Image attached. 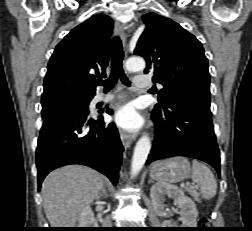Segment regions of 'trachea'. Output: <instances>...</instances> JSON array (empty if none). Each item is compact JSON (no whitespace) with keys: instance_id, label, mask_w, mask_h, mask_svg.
<instances>
[{"instance_id":"trachea-1","label":"trachea","mask_w":252,"mask_h":231,"mask_svg":"<svg viewBox=\"0 0 252 231\" xmlns=\"http://www.w3.org/2000/svg\"><path fill=\"white\" fill-rule=\"evenodd\" d=\"M124 57L122 43L119 37H114L112 42V60H111V74L110 77L105 80H99L97 83L104 86L105 91L111 90L117 83L120 77L123 84L130 86V81L124 74L122 68V61Z\"/></svg>"}]
</instances>
